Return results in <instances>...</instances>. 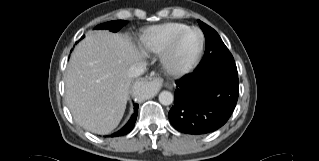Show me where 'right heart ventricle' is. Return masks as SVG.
I'll list each match as a JSON object with an SVG mask.
<instances>
[{
    "label": "right heart ventricle",
    "mask_w": 319,
    "mask_h": 161,
    "mask_svg": "<svg viewBox=\"0 0 319 161\" xmlns=\"http://www.w3.org/2000/svg\"><path fill=\"white\" fill-rule=\"evenodd\" d=\"M188 27L180 22H167L145 29L139 38L142 49L151 54L163 53L172 37L180 30Z\"/></svg>",
    "instance_id": "e07e8e85"
}]
</instances>
